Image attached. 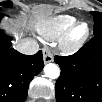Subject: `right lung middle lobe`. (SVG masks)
I'll use <instances>...</instances> for the list:
<instances>
[{"mask_svg":"<svg viewBox=\"0 0 102 102\" xmlns=\"http://www.w3.org/2000/svg\"><path fill=\"white\" fill-rule=\"evenodd\" d=\"M0 5L3 6V7H7L8 8V7L12 6V3H11V1H4Z\"/></svg>","mask_w":102,"mask_h":102,"instance_id":"dd1d6c3e","label":"right lung middle lobe"}]
</instances>
